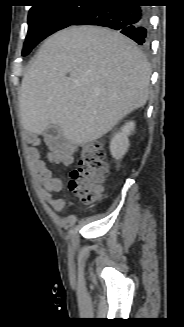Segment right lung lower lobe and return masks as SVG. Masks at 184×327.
Instances as JSON below:
<instances>
[{"label":"right lung lower lobe","instance_id":"obj_1","mask_svg":"<svg viewBox=\"0 0 184 327\" xmlns=\"http://www.w3.org/2000/svg\"><path fill=\"white\" fill-rule=\"evenodd\" d=\"M140 0H94L72 25H97L119 30L139 45H147L149 19Z\"/></svg>","mask_w":184,"mask_h":327}]
</instances>
